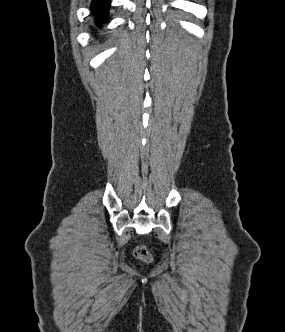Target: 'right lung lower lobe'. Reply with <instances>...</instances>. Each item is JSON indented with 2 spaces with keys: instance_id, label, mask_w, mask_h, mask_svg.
Segmentation results:
<instances>
[{
  "instance_id": "right-lung-lower-lobe-1",
  "label": "right lung lower lobe",
  "mask_w": 285,
  "mask_h": 332,
  "mask_svg": "<svg viewBox=\"0 0 285 332\" xmlns=\"http://www.w3.org/2000/svg\"><path fill=\"white\" fill-rule=\"evenodd\" d=\"M110 0H93L92 3V13L98 17L96 23L101 24L103 21L106 20L104 16L108 14Z\"/></svg>"
}]
</instances>
